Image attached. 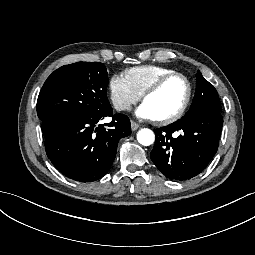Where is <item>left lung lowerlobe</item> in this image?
Returning a JSON list of instances; mask_svg holds the SVG:
<instances>
[{"instance_id":"obj_1","label":"left lung lower lobe","mask_w":255,"mask_h":255,"mask_svg":"<svg viewBox=\"0 0 255 255\" xmlns=\"http://www.w3.org/2000/svg\"><path fill=\"white\" fill-rule=\"evenodd\" d=\"M222 126L219 111L192 110L176 122L154 130L151 160L171 180L191 179L207 167L217 152Z\"/></svg>"}]
</instances>
